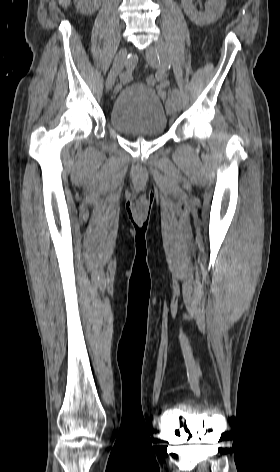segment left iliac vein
I'll list each match as a JSON object with an SVG mask.
<instances>
[{
    "label": "left iliac vein",
    "mask_w": 280,
    "mask_h": 472,
    "mask_svg": "<svg viewBox=\"0 0 280 472\" xmlns=\"http://www.w3.org/2000/svg\"><path fill=\"white\" fill-rule=\"evenodd\" d=\"M157 45H164V44L162 42H159ZM146 59L150 66L154 68H157L160 66L158 51L155 47L151 45L146 49ZM166 108H167V112L172 116H174L177 113L178 107L172 95L168 98L166 102Z\"/></svg>",
    "instance_id": "left-iliac-vein-1"
}]
</instances>
